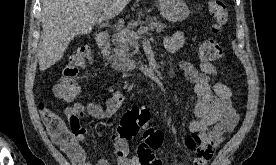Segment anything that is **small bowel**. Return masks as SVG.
Returning <instances> with one entry per match:
<instances>
[{
  "instance_id": "obj_1",
  "label": "small bowel",
  "mask_w": 276,
  "mask_h": 165,
  "mask_svg": "<svg viewBox=\"0 0 276 165\" xmlns=\"http://www.w3.org/2000/svg\"><path fill=\"white\" fill-rule=\"evenodd\" d=\"M185 34L176 32L165 38V47L169 52L178 51L185 44ZM180 69L186 78L193 84L195 101L193 114L188 127L193 133L201 137V144L196 150L192 165H207L213 156L214 150L223 141L226 133L236 126L239 116L231 102V89L223 82L216 81L211 85L212 78L218 75V68L212 62H202L198 67L187 61L179 63ZM111 96L102 106L97 102L83 104L76 102L65 109V116L71 127L76 128L74 142L59 144L61 150L68 156L73 165H110L107 159H99L93 163L82 147L87 136V130L81 126V120L90 116L96 120L109 124L123 104L124 97L121 91L114 87L108 89ZM46 112H52L45 106ZM43 122L50 133V122L41 113ZM114 153L117 165H162L153 152L136 156L129 155V144L126 140H117L114 144ZM183 165V164H175Z\"/></svg>"
}]
</instances>
